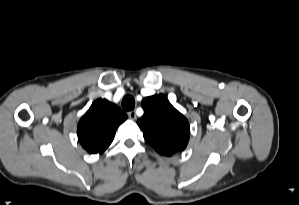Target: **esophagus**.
<instances>
[{"mask_svg":"<svg viewBox=\"0 0 299 205\" xmlns=\"http://www.w3.org/2000/svg\"><path fill=\"white\" fill-rule=\"evenodd\" d=\"M128 116L130 119L135 120L136 119V112L135 111H130L128 112Z\"/></svg>","mask_w":299,"mask_h":205,"instance_id":"esophagus-1","label":"esophagus"}]
</instances>
